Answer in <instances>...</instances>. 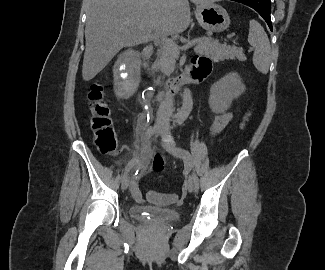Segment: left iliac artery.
<instances>
[{"label": "left iliac artery", "mask_w": 325, "mask_h": 270, "mask_svg": "<svg viewBox=\"0 0 325 270\" xmlns=\"http://www.w3.org/2000/svg\"><path fill=\"white\" fill-rule=\"evenodd\" d=\"M178 150L182 154L184 160L189 164V166L193 167L192 156L189 153V151H187L186 149H183V148H178ZM194 180H195V190L198 191L199 190V180L195 173H194Z\"/></svg>", "instance_id": "obj_1"}]
</instances>
